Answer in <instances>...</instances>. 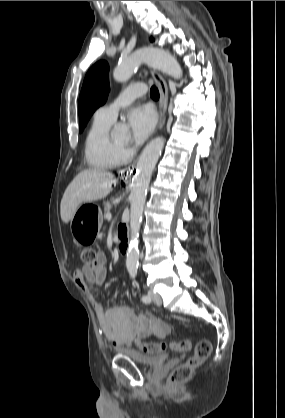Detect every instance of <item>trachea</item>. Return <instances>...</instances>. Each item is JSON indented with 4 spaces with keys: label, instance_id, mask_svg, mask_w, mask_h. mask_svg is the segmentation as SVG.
Listing matches in <instances>:
<instances>
[{
    "label": "trachea",
    "instance_id": "obj_1",
    "mask_svg": "<svg viewBox=\"0 0 285 418\" xmlns=\"http://www.w3.org/2000/svg\"><path fill=\"white\" fill-rule=\"evenodd\" d=\"M150 96L153 98H159V91L155 86L151 87Z\"/></svg>",
    "mask_w": 285,
    "mask_h": 418
}]
</instances>
